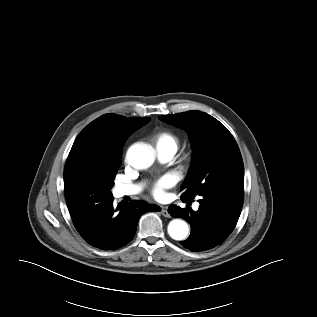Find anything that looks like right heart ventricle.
Wrapping results in <instances>:
<instances>
[{"instance_id": "right-heart-ventricle-1", "label": "right heart ventricle", "mask_w": 317, "mask_h": 317, "mask_svg": "<svg viewBox=\"0 0 317 317\" xmlns=\"http://www.w3.org/2000/svg\"><path fill=\"white\" fill-rule=\"evenodd\" d=\"M153 142L157 150L176 152L180 139L170 130H160L153 135Z\"/></svg>"}]
</instances>
